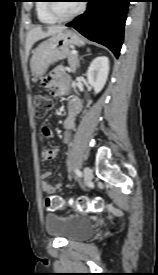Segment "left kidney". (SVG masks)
<instances>
[{
    "label": "left kidney",
    "instance_id": "1",
    "mask_svg": "<svg viewBox=\"0 0 158 275\" xmlns=\"http://www.w3.org/2000/svg\"><path fill=\"white\" fill-rule=\"evenodd\" d=\"M109 74V59L106 56L96 57L87 70V79L89 84L98 94L104 87Z\"/></svg>",
    "mask_w": 158,
    "mask_h": 275
}]
</instances>
